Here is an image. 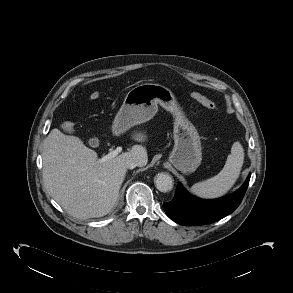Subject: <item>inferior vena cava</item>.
<instances>
[{"mask_svg":"<svg viewBox=\"0 0 293 293\" xmlns=\"http://www.w3.org/2000/svg\"><path fill=\"white\" fill-rule=\"evenodd\" d=\"M125 166L128 168V169H133L135 168L136 166H141V163L138 162L137 160L135 159H127L125 161Z\"/></svg>","mask_w":293,"mask_h":293,"instance_id":"1","label":"inferior vena cava"}]
</instances>
